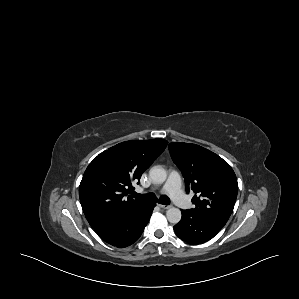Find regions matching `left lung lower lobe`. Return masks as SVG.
<instances>
[{
	"label": "left lung lower lobe",
	"instance_id": "obj_1",
	"mask_svg": "<svg viewBox=\"0 0 299 299\" xmlns=\"http://www.w3.org/2000/svg\"><path fill=\"white\" fill-rule=\"evenodd\" d=\"M174 231L180 239L190 244H201L212 239L220 228L191 210H182V219L174 226Z\"/></svg>",
	"mask_w": 299,
	"mask_h": 299
}]
</instances>
